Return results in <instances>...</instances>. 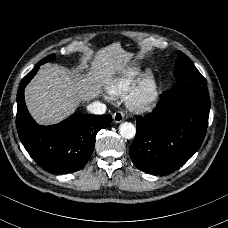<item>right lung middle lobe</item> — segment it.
<instances>
[{
    "label": "right lung middle lobe",
    "instance_id": "1",
    "mask_svg": "<svg viewBox=\"0 0 228 228\" xmlns=\"http://www.w3.org/2000/svg\"><path fill=\"white\" fill-rule=\"evenodd\" d=\"M53 58H54V55H49V56H47L46 58L42 59V60L38 63V65H42V64H44V63H46V62H49V61L52 60Z\"/></svg>",
    "mask_w": 228,
    "mask_h": 228
}]
</instances>
